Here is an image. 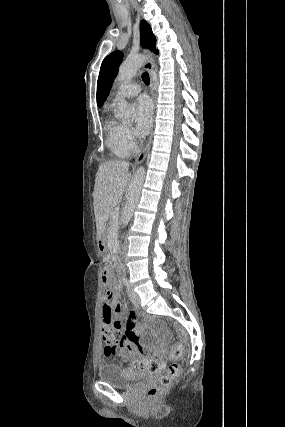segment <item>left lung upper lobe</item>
Listing matches in <instances>:
<instances>
[{"mask_svg": "<svg viewBox=\"0 0 285 427\" xmlns=\"http://www.w3.org/2000/svg\"><path fill=\"white\" fill-rule=\"evenodd\" d=\"M140 39L143 47L148 48L154 53L156 49V38L152 33L150 25L142 20L140 23ZM123 54L121 51H115L109 54L102 62L97 82V105L102 106L109 95L114 78L118 73V68L122 62Z\"/></svg>", "mask_w": 285, "mask_h": 427, "instance_id": "1", "label": "left lung upper lobe"}]
</instances>
